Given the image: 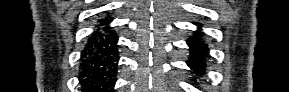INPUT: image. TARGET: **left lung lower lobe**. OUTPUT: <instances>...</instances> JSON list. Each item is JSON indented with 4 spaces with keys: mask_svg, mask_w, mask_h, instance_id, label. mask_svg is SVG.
I'll return each mask as SVG.
<instances>
[{
    "mask_svg": "<svg viewBox=\"0 0 289 92\" xmlns=\"http://www.w3.org/2000/svg\"><path fill=\"white\" fill-rule=\"evenodd\" d=\"M199 27L200 24L195 23ZM203 33L200 30L195 32V35L190 37L187 41V44L190 48V57L187 61V65L194 70L197 75H202L205 73L206 64L204 58L208 53L207 45L201 39Z\"/></svg>",
    "mask_w": 289,
    "mask_h": 92,
    "instance_id": "0a47b994",
    "label": "left lung lower lobe"
}]
</instances>
